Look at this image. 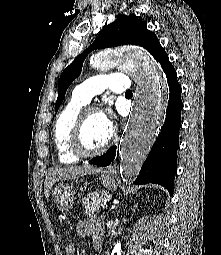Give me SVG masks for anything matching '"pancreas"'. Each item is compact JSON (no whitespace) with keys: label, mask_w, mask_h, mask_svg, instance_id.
<instances>
[{"label":"pancreas","mask_w":221,"mask_h":255,"mask_svg":"<svg viewBox=\"0 0 221 255\" xmlns=\"http://www.w3.org/2000/svg\"><path fill=\"white\" fill-rule=\"evenodd\" d=\"M111 198V195L106 191L96 190L92 193L87 194L83 199L84 213L91 215L97 212L100 208L105 209L106 206H102L105 200Z\"/></svg>","instance_id":"cf45deb5"}]
</instances>
